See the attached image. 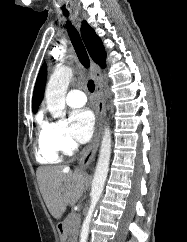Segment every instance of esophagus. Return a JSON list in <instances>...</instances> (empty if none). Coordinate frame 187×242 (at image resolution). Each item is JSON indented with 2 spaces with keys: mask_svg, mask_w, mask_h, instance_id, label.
Segmentation results:
<instances>
[{
  "mask_svg": "<svg viewBox=\"0 0 187 242\" xmlns=\"http://www.w3.org/2000/svg\"><path fill=\"white\" fill-rule=\"evenodd\" d=\"M92 70L96 82V95L98 98L97 121L93 139L84 150L80 159V167L84 170L89 168L98 150L102 134L103 119L105 116V95L101 81V70L95 63L92 64Z\"/></svg>",
  "mask_w": 187,
  "mask_h": 242,
  "instance_id": "esophagus-1",
  "label": "esophagus"
}]
</instances>
